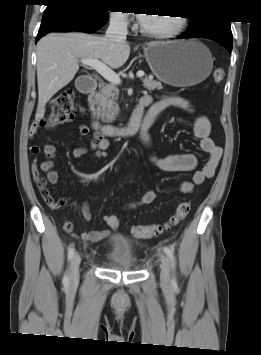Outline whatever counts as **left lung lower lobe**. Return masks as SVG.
<instances>
[{
	"instance_id": "left-lung-lower-lobe-1",
	"label": "left lung lower lobe",
	"mask_w": 261,
	"mask_h": 355,
	"mask_svg": "<svg viewBox=\"0 0 261 355\" xmlns=\"http://www.w3.org/2000/svg\"><path fill=\"white\" fill-rule=\"evenodd\" d=\"M190 37H202V38L211 39L223 45L229 52L232 51L233 36L230 27L214 26V27H209L200 33L191 34L187 32L185 35L178 36V38H190Z\"/></svg>"
}]
</instances>
